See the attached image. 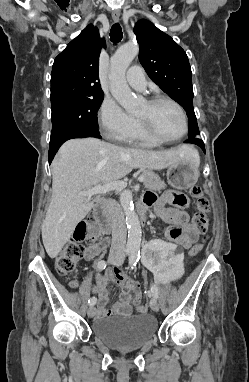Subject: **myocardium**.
Instances as JSON below:
<instances>
[{
	"label": "myocardium",
	"mask_w": 249,
	"mask_h": 382,
	"mask_svg": "<svg viewBox=\"0 0 249 382\" xmlns=\"http://www.w3.org/2000/svg\"><path fill=\"white\" fill-rule=\"evenodd\" d=\"M162 102H166V103H169L172 106H174L178 110V112L181 116L182 123H183V131L178 137H176V138L161 137L160 135H158V133L154 130V128L152 127V125L148 121L141 119V118H137V120L140 124L142 132L148 138L152 139L153 141L160 143V144L161 143L178 142L182 138H184L188 132V118H187L186 112L183 109V107L177 101H175L174 99L167 97V96H155V97H152L149 100H147V104L150 106H155V105L162 103Z\"/></svg>",
	"instance_id": "obj_1"
}]
</instances>
